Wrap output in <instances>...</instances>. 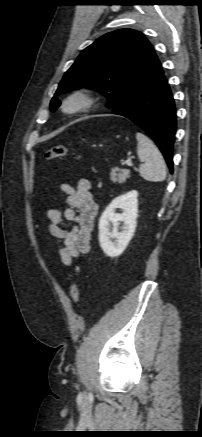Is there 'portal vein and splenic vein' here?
I'll return each mask as SVG.
<instances>
[{"label": "portal vein and splenic vein", "mask_w": 202, "mask_h": 437, "mask_svg": "<svg viewBox=\"0 0 202 437\" xmlns=\"http://www.w3.org/2000/svg\"><path fill=\"white\" fill-rule=\"evenodd\" d=\"M125 164H127L128 166H132V163L130 161H126Z\"/></svg>", "instance_id": "18ae733b"}]
</instances>
